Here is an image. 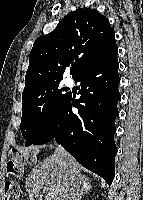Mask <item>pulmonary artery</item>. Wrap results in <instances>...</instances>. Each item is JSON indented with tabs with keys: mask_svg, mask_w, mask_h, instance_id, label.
<instances>
[{
	"mask_svg": "<svg viewBox=\"0 0 143 200\" xmlns=\"http://www.w3.org/2000/svg\"><path fill=\"white\" fill-rule=\"evenodd\" d=\"M67 84H71V80H67Z\"/></svg>",
	"mask_w": 143,
	"mask_h": 200,
	"instance_id": "1",
	"label": "pulmonary artery"
}]
</instances>
